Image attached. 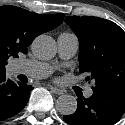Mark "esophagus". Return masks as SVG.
Listing matches in <instances>:
<instances>
[{"mask_svg": "<svg viewBox=\"0 0 125 125\" xmlns=\"http://www.w3.org/2000/svg\"><path fill=\"white\" fill-rule=\"evenodd\" d=\"M48 88L53 92L55 93L56 95H61L63 94V91L57 87H54V86H51V85H48Z\"/></svg>", "mask_w": 125, "mask_h": 125, "instance_id": "34e87169", "label": "esophagus"}]
</instances>
